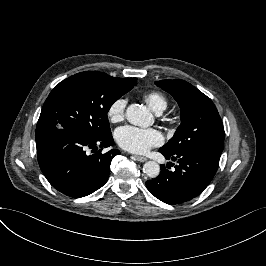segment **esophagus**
<instances>
[{
	"label": "esophagus",
	"instance_id": "obj_1",
	"mask_svg": "<svg viewBox=\"0 0 266 266\" xmlns=\"http://www.w3.org/2000/svg\"><path fill=\"white\" fill-rule=\"evenodd\" d=\"M134 158L139 162H145L147 160L146 157L140 155H134Z\"/></svg>",
	"mask_w": 266,
	"mask_h": 266
}]
</instances>
